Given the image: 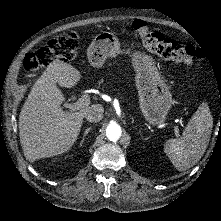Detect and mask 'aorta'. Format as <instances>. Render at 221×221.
<instances>
[{
  "instance_id": "1",
  "label": "aorta",
  "mask_w": 221,
  "mask_h": 221,
  "mask_svg": "<svg viewBox=\"0 0 221 221\" xmlns=\"http://www.w3.org/2000/svg\"><path fill=\"white\" fill-rule=\"evenodd\" d=\"M121 134V127L115 122L110 123L106 128V136L112 142H116Z\"/></svg>"
}]
</instances>
